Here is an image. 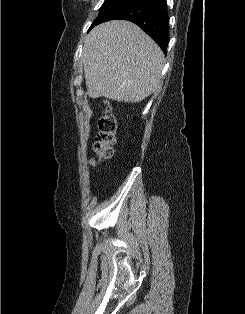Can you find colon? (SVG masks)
Returning a JSON list of instances; mask_svg holds the SVG:
<instances>
[{"mask_svg": "<svg viewBox=\"0 0 245 314\" xmlns=\"http://www.w3.org/2000/svg\"><path fill=\"white\" fill-rule=\"evenodd\" d=\"M116 121L107 101L103 103V115L99 121V132L96 136L94 150L96 158L91 161V166L97 168L101 163L113 155L115 142Z\"/></svg>", "mask_w": 245, "mask_h": 314, "instance_id": "obj_1", "label": "colon"}]
</instances>
